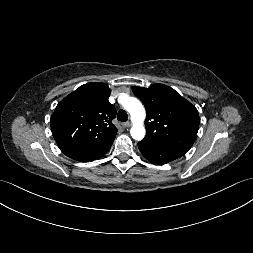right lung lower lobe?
Listing matches in <instances>:
<instances>
[{
    "label": "right lung lower lobe",
    "instance_id": "right-lung-lower-lobe-1",
    "mask_svg": "<svg viewBox=\"0 0 253 253\" xmlns=\"http://www.w3.org/2000/svg\"><path fill=\"white\" fill-rule=\"evenodd\" d=\"M113 141L114 139L105 142L101 145H98L96 147L81 151L70 158L80 162L94 161L95 159L101 158L104 154H106L109 151Z\"/></svg>",
    "mask_w": 253,
    "mask_h": 253
}]
</instances>
